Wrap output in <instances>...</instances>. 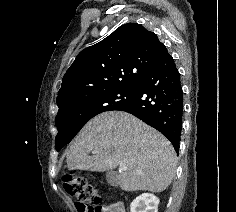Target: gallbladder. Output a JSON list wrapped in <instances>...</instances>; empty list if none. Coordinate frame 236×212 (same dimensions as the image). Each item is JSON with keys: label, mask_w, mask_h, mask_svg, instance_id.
I'll return each instance as SVG.
<instances>
[{"label": "gallbladder", "mask_w": 236, "mask_h": 212, "mask_svg": "<svg viewBox=\"0 0 236 212\" xmlns=\"http://www.w3.org/2000/svg\"><path fill=\"white\" fill-rule=\"evenodd\" d=\"M106 179L108 181L109 184L113 185V186H116L118 185V179H117V175L110 171L106 174Z\"/></svg>", "instance_id": "gallbladder-1"}]
</instances>
